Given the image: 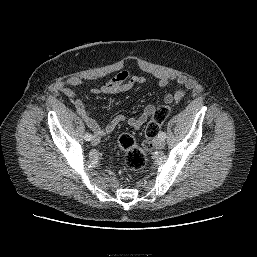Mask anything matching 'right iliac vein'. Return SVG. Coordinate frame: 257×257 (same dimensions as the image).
I'll list each match as a JSON object with an SVG mask.
<instances>
[{"label":"right iliac vein","mask_w":257,"mask_h":257,"mask_svg":"<svg viewBox=\"0 0 257 257\" xmlns=\"http://www.w3.org/2000/svg\"><path fill=\"white\" fill-rule=\"evenodd\" d=\"M99 142H100V138H99V137H97V136H93V137H92L91 143H92L93 145H97V144H99Z\"/></svg>","instance_id":"right-iliac-vein-1"}]
</instances>
